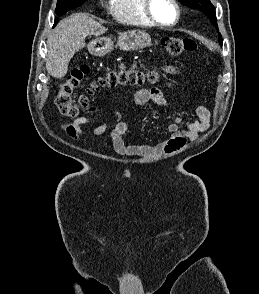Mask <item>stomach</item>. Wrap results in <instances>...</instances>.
I'll use <instances>...</instances> for the list:
<instances>
[{"label":"stomach","mask_w":259,"mask_h":294,"mask_svg":"<svg viewBox=\"0 0 259 294\" xmlns=\"http://www.w3.org/2000/svg\"><path fill=\"white\" fill-rule=\"evenodd\" d=\"M151 45V37L145 31L132 30L120 33L118 46L123 51H134ZM88 50L95 56H103L113 50L111 37H97L88 44Z\"/></svg>","instance_id":"1"}]
</instances>
